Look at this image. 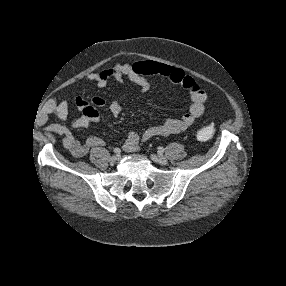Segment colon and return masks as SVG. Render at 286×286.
Instances as JSON below:
<instances>
[{
  "label": "colon",
  "instance_id": "colon-1",
  "mask_svg": "<svg viewBox=\"0 0 286 286\" xmlns=\"http://www.w3.org/2000/svg\"><path fill=\"white\" fill-rule=\"evenodd\" d=\"M215 126L213 124L205 125L197 130L196 136L200 141H205L213 137Z\"/></svg>",
  "mask_w": 286,
  "mask_h": 286
}]
</instances>
